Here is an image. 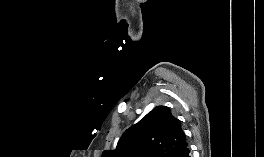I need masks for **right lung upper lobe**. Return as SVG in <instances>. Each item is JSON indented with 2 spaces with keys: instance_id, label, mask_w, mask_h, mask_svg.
Instances as JSON below:
<instances>
[{
  "instance_id": "1",
  "label": "right lung upper lobe",
  "mask_w": 264,
  "mask_h": 157,
  "mask_svg": "<svg viewBox=\"0 0 264 157\" xmlns=\"http://www.w3.org/2000/svg\"><path fill=\"white\" fill-rule=\"evenodd\" d=\"M188 146L181 122L166 106H157L127 129L109 157H178Z\"/></svg>"
}]
</instances>
